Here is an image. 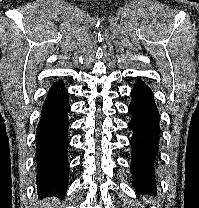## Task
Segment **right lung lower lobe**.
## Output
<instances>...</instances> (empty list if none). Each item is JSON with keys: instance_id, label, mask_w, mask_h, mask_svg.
Segmentation results:
<instances>
[{"instance_id": "98d812e1", "label": "right lung lower lobe", "mask_w": 199, "mask_h": 208, "mask_svg": "<svg viewBox=\"0 0 199 208\" xmlns=\"http://www.w3.org/2000/svg\"><path fill=\"white\" fill-rule=\"evenodd\" d=\"M69 95L61 82L55 83L44 102L37 126L36 162L39 196L64 197L68 187L67 158Z\"/></svg>"}]
</instances>
